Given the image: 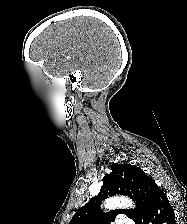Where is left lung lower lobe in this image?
Listing matches in <instances>:
<instances>
[{"mask_svg":"<svg viewBox=\"0 0 187 224\" xmlns=\"http://www.w3.org/2000/svg\"><path fill=\"white\" fill-rule=\"evenodd\" d=\"M136 224H175V214L166 194L159 189L147 214Z\"/></svg>","mask_w":187,"mask_h":224,"instance_id":"0a47b994","label":"left lung lower lobe"}]
</instances>
